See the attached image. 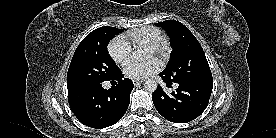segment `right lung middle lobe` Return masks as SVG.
Returning <instances> with one entry per match:
<instances>
[{"label": "right lung middle lobe", "instance_id": "obj_1", "mask_svg": "<svg viewBox=\"0 0 276 138\" xmlns=\"http://www.w3.org/2000/svg\"><path fill=\"white\" fill-rule=\"evenodd\" d=\"M122 31L115 27H100L80 42L68 69V90L103 82L119 73V67L108 54L107 45Z\"/></svg>", "mask_w": 276, "mask_h": 138}]
</instances>
